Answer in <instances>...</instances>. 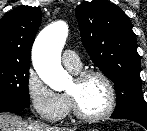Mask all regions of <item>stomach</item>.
<instances>
[{
    "mask_svg": "<svg viewBox=\"0 0 147 131\" xmlns=\"http://www.w3.org/2000/svg\"><path fill=\"white\" fill-rule=\"evenodd\" d=\"M87 131H98L97 129H89Z\"/></svg>",
    "mask_w": 147,
    "mask_h": 131,
    "instance_id": "stomach-1",
    "label": "stomach"
}]
</instances>
